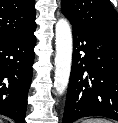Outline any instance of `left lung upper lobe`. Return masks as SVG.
I'll return each instance as SVG.
<instances>
[{"label": "left lung upper lobe", "mask_w": 118, "mask_h": 123, "mask_svg": "<svg viewBox=\"0 0 118 123\" xmlns=\"http://www.w3.org/2000/svg\"><path fill=\"white\" fill-rule=\"evenodd\" d=\"M61 7L73 27L118 38L117 12L109 0H62Z\"/></svg>", "instance_id": "1"}]
</instances>
